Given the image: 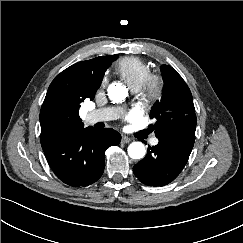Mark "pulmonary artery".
I'll use <instances>...</instances> for the list:
<instances>
[{"mask_svg":"<svg viewBox=\"0 0 243 243\" xmlns=\"http://www.w3.org/2000/svg\"><path fill=\"white\" fill-rule=\"evenodd\" d=\"M123 114V109L121 107H107L93 110L87 113L85 117V122L87 124H94L97 122L109 121L119 118ZM152 145L158 144V139L153 138L151 140Z\"/></svg>","mask_w":243,"mask_h":243,"instance_id":"e3ab8cb5","label":"pulmonary artery"}]
</instances>
